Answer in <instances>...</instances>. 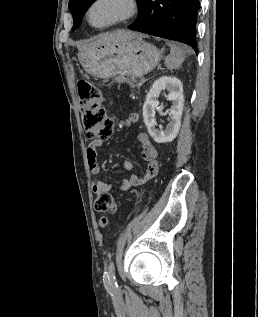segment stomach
<instances>
[{
  "label": "stomach",
  "mask_w": 258,
  "mask_h": 317,
  "mask_svg": "<svg viewBox=\"0 0 258 317\" xmlns=\"http://www.w3.org/2000/svg\"><path fill=\"white\" fill-rule=\"evenodd\" d=\"M162 52L135 32L134 38L125 42H109L91 48L80 46L77 56L81 66L99 78H111L116 74L140 78L157 66Z\"/></svg>",
  "instance_id": "obj_1"
}]
</instances>
